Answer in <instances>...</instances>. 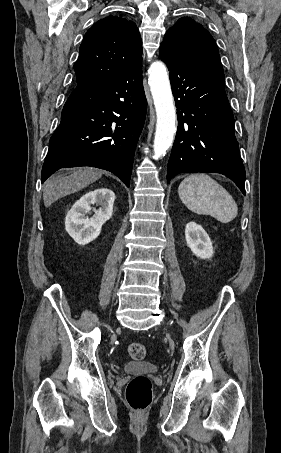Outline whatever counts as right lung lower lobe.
Returning a JSON list of instances; mask_svg holds the SVG:
<instances>
[{
	"instance_id": "obj_1",
	"label": "right lung lower lobe",
	"mask_w": 281,
	"mask_h": 453,
	"mask_svg": "<svg viewBox=\"0 0 281 453\" xmlns=\"http://www.w3.org/2000/svg\"><path fill=\"white\" fill-rule=\"evenodd\" d=\"M146 108L142 60L113 81L77 84L50 139L42 183L60 168L92 166L129 187Z\"/></svg>"
}]
</instances>
